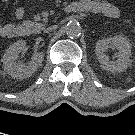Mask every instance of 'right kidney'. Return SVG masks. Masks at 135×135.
<instances>
[{
    "mask_svg": "<svg viewBox=\"0 0 135 135\" xmlns=\"http://www.w3.org/2000/svg\"><path fill=\"white\" fill-rule=\"evenodd\" d=\"M25 49L26 42L24 40H19L6 50L3 58L1 59L5 72L13 78L25 79L30 77L42 64L44 58V53L42 52H35L28 65L16 62L19 53Z\"/></svg>",
    "mask_w": 135,
    "mask_h": 135,
    "instance_id": "obj_1",
    "label": "right kidney"
}]
</instances>
